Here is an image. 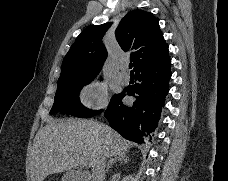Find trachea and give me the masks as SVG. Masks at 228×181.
<instances>
[{
    "mask_svg": "<svg viewBox=\"0 0 228 181\" xmlns=\"http://www.w3.org/2000/svg\"><path fill=\"white\" fill-rule=\"evenodd\" d=\"M133 66V63H129V68L131 69Z\"/></svg>",
    "mask_w": 228,
    "mask_h": 181,
    "instance_id": "3493384b",
    "label": "trachea"
}]
</instances>
